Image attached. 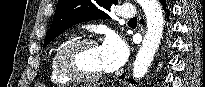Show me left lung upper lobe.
<instances>
[{"label":"left lung upper lobe","mask_w":205,"mask_h":87,"mask_svg":"<svg viewBox=\"0 0 205 87\" xmlns=\"http://www.w3.org/2000/svg\"><path fill=\"white\" fill-rule=\"evenodd\" d=\"M112 1L115 0H59L43 46L77 23L109 18L106 11Z\"/></svg>","instance_id":"5c2ea615"}]
</instances>
